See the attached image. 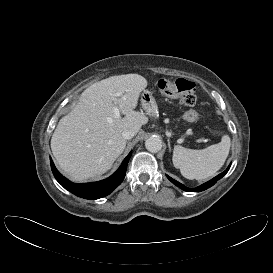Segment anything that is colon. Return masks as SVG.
Listing matches in <instances>:
<instances>
[{"label": "colon", "instance_id": "1", "mask_svg": "<svg viewBox=\"0 0 273 273\" xmlns=\"http://www.w3.org/2000/svg\"><path fill=\"white\" fill-rule=\"evenodd\" d=\"M159 89L166 95L178 98L186 106H194L196 104L195 84L187 79L167 80L162 79L158 83ZM183 118L188 122H196L199 118L195 110L184 112Z\"/></svg>", "mask_w": 273, "mask_h": 273}]
</instances>
